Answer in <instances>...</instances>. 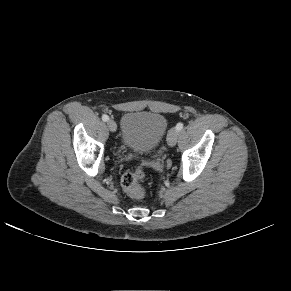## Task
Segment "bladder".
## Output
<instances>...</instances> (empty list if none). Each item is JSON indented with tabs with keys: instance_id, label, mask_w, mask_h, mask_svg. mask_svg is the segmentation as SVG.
Here are the masks:
<instances>
[{
	"instance_id": "31cf9c89",
	"label": "bladder",
	"mask_w": 291,
	"mask_h": 291,
	"mask_svg": "<svg viewBox=\"0 0 291 291\" xmlns=\"http://www.w3.org/2000/svg\"><path fill=\"white\" fill-rule=\"evenodd\" d=\"M167 130V120L159 113L132 111L121 120V144L137 153L153 151Z\"/></svg>"
}]
</instances>
